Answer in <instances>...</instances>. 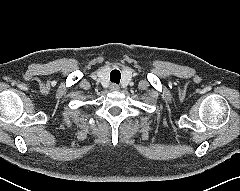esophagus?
Returning <instances> with one entry per match:
<instances>
[{
    "mask_svg": "<svg viewBox=\"0 0 240 191\" xmlns=\"http://www.w3.org/2000/svg\"><path fill=\"white\" fill-rule=\"evenodd\" d=\"M110 89H111L112 91H117V90H119V86H118L117 84H112V85L110 86Z\"/></svg>",
    "mask_w": 240,
    "mask_h": 191,
    "instance_id": "1",
    "label": "esophagus"
}]
</instances>
